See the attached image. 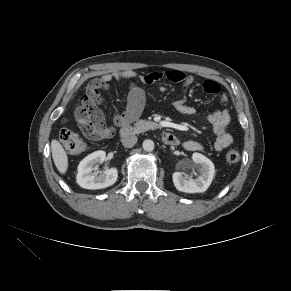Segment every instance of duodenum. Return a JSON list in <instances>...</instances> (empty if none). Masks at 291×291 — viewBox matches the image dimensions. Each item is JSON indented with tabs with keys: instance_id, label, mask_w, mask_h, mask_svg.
I'll return each mask as SVG.
<instances>
[{
	"instance_id": "obj_1",
	"label": "duodenum",
	"mask_w": 291,
	"mask_h": 291,
	"mask_svg": "<svg viewBox=\"0 0 291 291\" xmlns=\"http://www.w3.org/2000/svg\"><path fill=\"white\" fill-rule=\"evenodd\" d=\"M136 132L135 128L131 126L130 124H125L121 126L120 129V136L123 138H127L132 136ZM162 141L167 145H176L178 143L177 137L170 133V132H164L162 133Z\"/></svg>"
}]
</instances>
